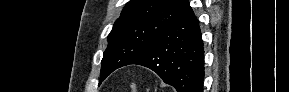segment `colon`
Returning <instances> with one entry per match:
<instances>
[{
	"mask_svg": "<svg viewBox=\"0 0 289 92\" xmlns=\"http://www.w3.org/2000/svg\"><path fill=\"white\" fill-rule=\"evenodd\" d=\"M131 92H136V86L134 84L130 85Z\"/></svg>",
	"mask_w": 289,
	"mask_h": 92,
	"instance_id": "5ec220e1",
	"label": "colon"
}]
</instances>
